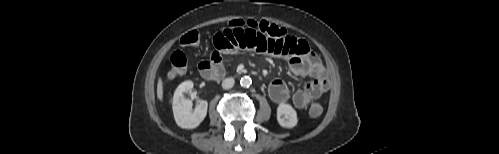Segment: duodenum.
Here are the masks:
<instances>
[{
    "mask_svg": "<svg viewBox=\"0 0 499 154\" xmlns=\"http://www.w3.org/2000/svg\"><path fill=\"white\" fill-rule=\"evenodd\" d=\"M223 76H224V74H223V75H222V74H217V73L213 74V78H214V79H220V78H222Z\"/></svg>",
    "mask_w": 499,
    "mask_h": 154,
    "instance_id": "obj_1",
    "label": "duodenum"
}]
</instances>
